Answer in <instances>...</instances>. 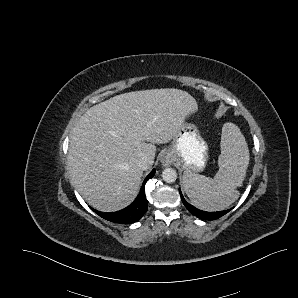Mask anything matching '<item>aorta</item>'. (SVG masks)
<instances>
[{
  "label": "aorta",
  "mask_w": 298,
  "mask_h": 298,
  "mask_svg": "<svg viewBox=\"0 0 298 298\" xmlns=\"http://www.w3.org/2000/svg\"><path fill=\"white\" fill-rule=\"evenodd\" d=\"M162 180L166 183H173L177 180L178 173L174 168H165L161 173Z\"/></svg>",
  "instance_id": "1"
}]
</instances>
